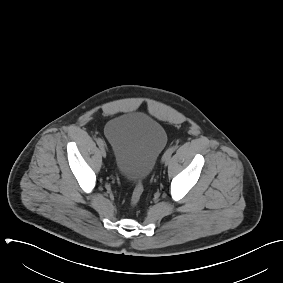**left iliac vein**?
Returning a JSON list of instances; mask_svg holds the SVG:
<instances>
[{"instance_id": "1", "label": "left iliac vein", "mask_w": 283, "mask_h": 283, "mask_svg": "<svg viewBox=\"0 0 283 283\" xmlns=\"http://www.w3.org/2000/svg\"><path fill=\"white\" fill-rule=\"evenodd\" d=\"M162 161H163V160H162ZM169 161H170V160H164L163 163L167 165V164L169 163Z\"/></svg>"}]
</instances>
